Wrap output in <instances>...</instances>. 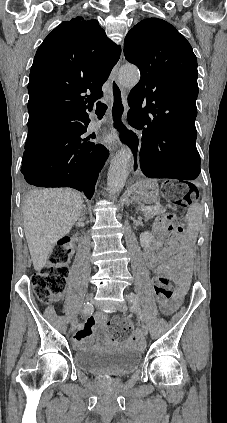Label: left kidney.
I'll return each instance as SVG.
<instances>
[{"label":"left kidney","instance_id":"1","mask_svg":"<svg viewBox=\"0 0 227 423\" xmlns=\"http://www.w3.org/2000/svg\"><path fill=\"white\" fill-rule=\"evenodd\" d=\"M153 233H149V231H143L140 235V243L142 247H149L151 241H153Z\"/></svg>","mask_w":227,"mask_h":423}]
</instances>
